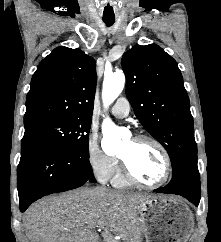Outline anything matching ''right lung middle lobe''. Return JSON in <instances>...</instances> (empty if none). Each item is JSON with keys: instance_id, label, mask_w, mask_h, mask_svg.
Returning a JSON list of instances; mask_svg holds the SVG:
<instances>
[{"instance_id": "right-lung-middle-lobe-1", "label": "right lung middle lobe", "mask_w": 221, "mask_h": 242, "mask_svg": "<svg viewBox=\"0 0 221 242\" xmlns=\"http://www.w3.org/2000/svg\"><path fill=\"white\" fill-rule=\"evenodd\" d=\"M92 118L49 119L25 125L21 144H47L89 158V131Z\"/></svg>"}]
</instances>
